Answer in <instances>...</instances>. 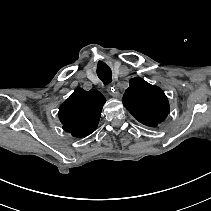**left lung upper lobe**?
Wrapping results in <instances>:
<instances>
[{
	"label": "left lung upper lobe",
	"mask_w": 211,
	"mask_h": 211,
	"mask_svg": "<svg viewBox=\"0 0 211 211\" xmlns=\"http://www.w3.org/2000/svg\"><path fill=\"white\" fill-rule=\"evenodd\" d=\"M122 102L140 123L149 127L160 124L170 111L164 92L139 77L130 80Z\"/></svg>",
	"instance_id": "5c2ea615"
}]
</instances>
